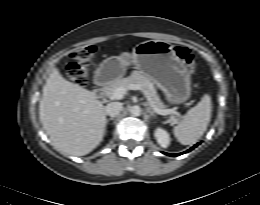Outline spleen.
<instances>
[{"mask_svg": "<svg viewBox=\"0 0 260 205\" xmlns=\"http://www.w3.org/2000/svg\"><path fill=\"white\" fill-rule=\"evenodd\" d=\"M212 111L211 97L205 94L201 101L184 115L174 127V135L183 145L194 144L206 131Z\"/></svg>", "mask_w": 260, "mask_h": 205, "instance_id": "obj_1", "label": "spleen"}]
</instances>
